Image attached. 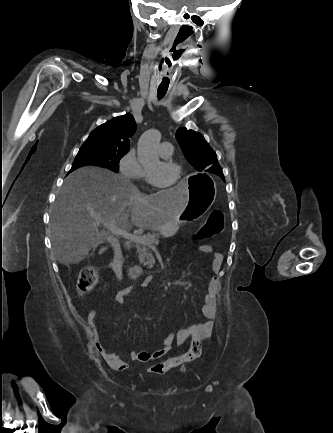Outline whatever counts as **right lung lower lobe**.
Here are the masks:
<instances>
[{"mask_svg": "<svg viewBox=\"0 0 333 433\" xmlns=\"http://www.w3.org/2000/svg\"><path fill=\"white\" fill-rule=\"evenodd\" d=\"M76 168H78V167H72L71 170H70V172L73 171V170H75Z\"/></svg>", "mask_w": 333, "mask_h": 433, "instance_id": "1", "label": "right lung lower lobe"}]
</instances>
